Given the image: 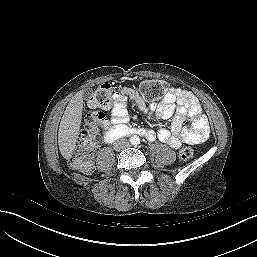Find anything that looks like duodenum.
<instances>
[{"label":"duodenum","instance_id":"obj_1","mask_svg":"<svg viewBox=\"0 0 257 257\" xmlns=\"http://www.w3.org/2000/svg\"><path fill=\"white\" fill-rule=\"evenodd\" d=\"M145 134H146V131L144 129L117 126L112 128L110 131H108V133L106 134V141L110 143L123 136H127V135L143 136Z\"/></svg>","mask_w":257,"mask_h":257}]
</instances>
